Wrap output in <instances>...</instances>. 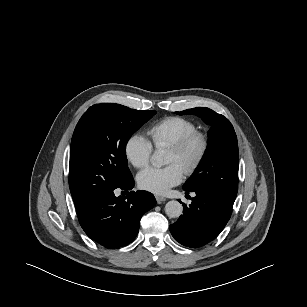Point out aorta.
I'll return each mask as SVG.
<instances>
[{
  "label": "aorta",
  "instance_id": "obj_1",
  "mask_svg": "<svg viewBox=\"0 0 307 307\" xmlns=\"http://www.w3.org/2000/svg\"><path fill=\"white\" fill-rule=\"evenodd\" d=\"M152 162L155 166H162L166 164L164 152L156 150L152 156ZM183 212L182 204L176 200H171L165 205V213L170 218H178Z\"/></svg>",
  "mask_w": 307,
  "mask_h": 307
}]
</instances>
